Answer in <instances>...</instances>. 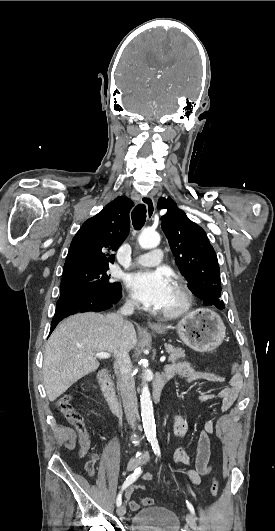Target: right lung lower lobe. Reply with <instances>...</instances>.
<instances>
[{
    "mask_svg": "<svg viewBox=\"0 0 275 531\" xmlns=\"http://www.w3.org/2000/svg\"><path fill=\"white\" fill-rule=\"evenodd\" d=\"M122 296L121 287L112 294L102 295L91 288L81 286H69L61 288L60 298L57 302L56 311L52 319L51 332L58 322L79 312H100L112 307Z\"/></svg>",
    "mask_w": 275,
    "mask_h": 531,
    "instance_id": "98d812e1",
    "label": "right lung lower lobe"
}]
</instances>
